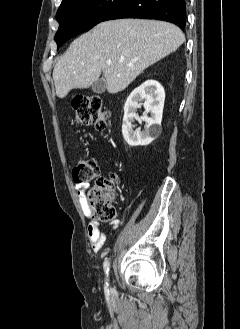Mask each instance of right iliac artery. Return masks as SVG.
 <instances>
[{"instance_id":"1","label":"right iliac artery","mask_w":240,"mask_h":329,"mask_svg":"<svg viewBox=\"0 0 240 329\" xmlns=\"http://www.w3.org/2000/svg\"><path fill=\"white\" fill-rule=\"evenodd\" d=\"M103 267H104V270L106 272V274L109 273V269H110V263L108 260H105L104 261V264H103ZM108 286V282H106V287Z\"/></svg>"}]
</instances>
